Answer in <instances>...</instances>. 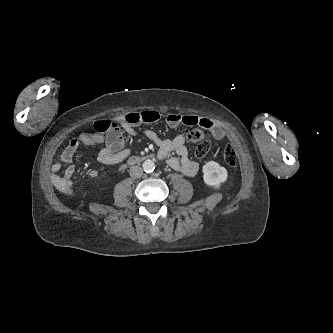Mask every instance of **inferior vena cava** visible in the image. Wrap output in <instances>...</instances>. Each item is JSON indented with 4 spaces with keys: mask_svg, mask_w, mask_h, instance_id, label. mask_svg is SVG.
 Masks as SVG:
<instances>
[{
    "mask_svg": "<svg viewBox=\"0 0 333 333\" xmlns=\"http://www.w3.org/2000/svg\"><path fill=\"white\" fill-rule=\"evenodd\" d=\"M129 173L133 178H140L143 174V170L140 166H132L129 170Z\"/></svg>",
    "mask_w": 333,
    "mask_h": 333,
    "instance_id": "inferior-vena-cava-1",
    "label": "inferior vena cava"
}]
</instances>
